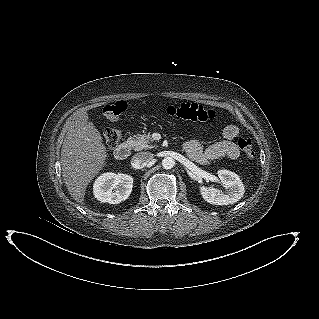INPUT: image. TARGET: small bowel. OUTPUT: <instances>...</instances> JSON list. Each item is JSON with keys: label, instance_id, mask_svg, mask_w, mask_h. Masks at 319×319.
I'll return each instance as SVG.
<instances>
[{"label": "small bowel", "instance_id": "1", "mask_svg": "<svg viewBox=\"0 0 319 319\" xmlns=\"http://www.w3.org/2000/svg\"><path fill=\"white\" fill-rule=\"evenodd\" d=\"M239 135V128L235 125H227L223 130L224 140L214 143L208 147H203L198 141L186 142L183 146L187 156L200 164H208L212 160L227 157L237 159L240 155V149L234 142Z\"/></svg>", "mask_w": 319, "mask_h": 319}]
</instances>
